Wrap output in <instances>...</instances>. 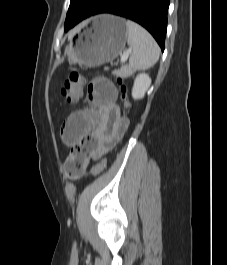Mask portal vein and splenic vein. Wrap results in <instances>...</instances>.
<instances>
[{
  "label": "portal vein and splenic vein",
  "instance_id": "1",
  "mask_svg": "<svg viewBox=\"0 0 227 265\" xmlns=\"http://www.w3.org/2000/svg\"><path fill=\"white\" fill-rule=\"evenodd\" d=\"M130 52H131V50H128L122 54V56H121V62L122 63H124L128 59Z\"/></svg>",
  "mask_w": 227,
  "mask_h": 265
}]
</instances>
